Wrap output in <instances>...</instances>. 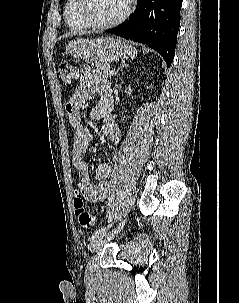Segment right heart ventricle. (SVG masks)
<instances>
[{
	"label": "right heart ventricle",
	"instance_id": "right-heart-ventricle-1",
	"mask_svg": "<svg viewBox=\"0 0 239 303\" xmlns=\"http://www.w3.org/2000/svg\"><path fill=\"white\" fill-rule=\"evenodd\" d=\"M79 0H66L64 5V16L68 27L74 31H83L88 27L81 22L77 15Z\"/></svg>",
	"mask_w": 239,
	"mask_h": 303
}]
</instances>
